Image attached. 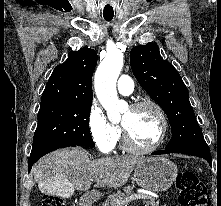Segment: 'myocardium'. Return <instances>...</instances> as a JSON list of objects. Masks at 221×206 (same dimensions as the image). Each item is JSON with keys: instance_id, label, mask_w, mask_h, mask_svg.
<instances>
[{"instance_id": "myocardium-1", "label": "myocardium", "mask_w": 221, "mask_h": 206, "mask_svg": "<svg viewBox=\"0 0 221 206\" xmlns=\"http://www.w3.org/2000/svg\"><path fill=\"white\" fill-rule=\"evenodd\" d=\"M144 106H149L153 108L155 112L157 113L160 119V124H161L160 133H159L158 138L152 145L148 147H138L132 142L131 137L128 131L125 129V127L121 125L122 133H123V145L127 151L134 153V154H149V153L154 152L163 143L167 135V131H168L167 117L162 107L156 101L152 99H148V98L141 99L131 104L129 109L135 110Z\"/></svg>"}]
</instances>
